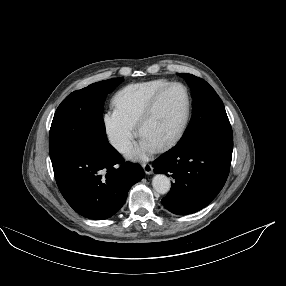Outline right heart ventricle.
Listing matches in <instances>:
<instances>
[{"mask_svg": "<svg viewBox=\"0 0 286 286\" xmlns=\"http://www.w3.org/2000/svg\"><path fill=\"white\" fill-rule=\"evenodd\" d=\"M171 82L167 79H154L132 83L117 92L114 97L115 107L134 125L149 100L163 87Z\"/></svg>", "mask_w": 286, "mask_h": 286, "instance_id": "obj_1", "label": "right heart ventricle"}]
</instances>
